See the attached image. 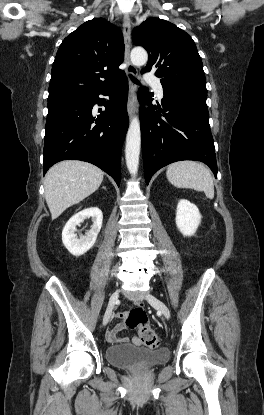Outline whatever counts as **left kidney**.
Wrapping results in <instances>:
<instances>
[{
    "label": "left kidney",
    "mask_w": 264,
    "mask_h": 415,
    "mask_svg": "<svg viewBox=\"0 0 264 415\" xmlns=\"http://www.w3.org/2000/svg\"><path fill=\"white\" fill-rule=\"evenodd\" d=\"M201 222V214L196 205L182 199L178 202L176 210V225L184 236L195 234Z\"/></svg>",
    "instance_id": "1"
}]
</instances>
